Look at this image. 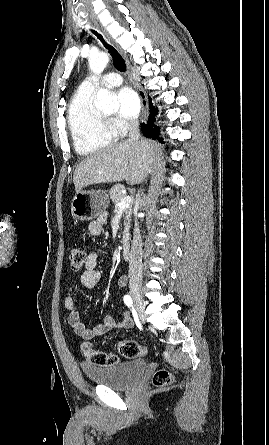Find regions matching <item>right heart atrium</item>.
<instances>
[{
	"label": "right heart atrium",
	"instance_id": "right-heart-atrium-1",
	"mask_svg": "<svg viewBox=\"0 0 269 445\" xmlns=\"http://www.w3.org/2000/svg\"><path fill=\"white\" fill-rule=\"evenodd\" d=\"M110 125L116 134L124 135L132 127L133 123L119 118H113L110 120Z\"/></svg>",
	"mask_w": 269,
	"mask_h": 445
}]
</instances>
